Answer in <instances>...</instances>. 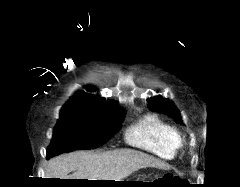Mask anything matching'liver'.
<instances>
[{
	"label": "liver",
	"mask_w": 240,
	"mask_h": 187,
	"mask_svg": "<svg viewBox=\"0 0 240 187\" xmlns=\"http://www.w3.org/2000/svg\"><path fill=\"white\" fill-rule=\"evenodd\" d=\"M146 167L168 168L158 159L130 149L101 153L76 151L50 159L46 176L60 179L121 181L133 172ZM70 172L73 174L69 175Z\"/></svg>",
	"instance_id": "liver-1"
}]
</instances>
